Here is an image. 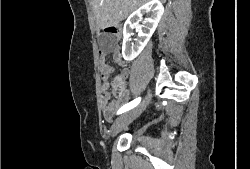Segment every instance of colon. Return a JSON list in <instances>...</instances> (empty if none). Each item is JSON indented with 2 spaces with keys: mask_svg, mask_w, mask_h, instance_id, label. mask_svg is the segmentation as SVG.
Segmentation results:
<instances>
[{
  "mask_svg": "<svg viewBox=\"0 0 250 169\" xmlns=\"http://www.w3.org/2000/svg\"><path fill=\"white\" fill-rule=\"evenodd\" d=\"M106 40L104 46L109 48L111 44L121 45L123 39V31L121 26H109L105 28ZM114 94L117 97H121L124 94V86L120 78L114 79Z\"/></svg>",
  "mask_w": 250,
  "mask_h": 169,
  "instance_id": "colon-1",
  "label": "colon"
}]
</instances>
